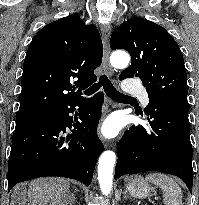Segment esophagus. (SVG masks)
I'll use <instances>...</instances> for the list:
<instances>
[{
  "label": "esophagus",
  "mask_w": 199,
  "mask_h": 205,
  "mask_svg": "<svg viewBox=\"0 0 199 205\" xmlns=\"http://www.w3.org/2000/svg\"><path fill=\"white\" fill-rule=\"evenodd\" d=\"M101 31H102L103 43H104V54H103L102 66L105 72L111 77L114 73V70L109 63V56H110L109 38L111 33L110 25L104 24L101 27ZM106 147L114 149L116 147V144L114 142H108L106 144Z\"/></svg>",
  "instance_id": "34e87169"
}]
</instances>
